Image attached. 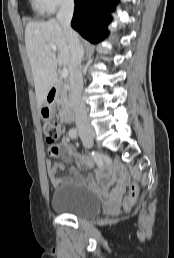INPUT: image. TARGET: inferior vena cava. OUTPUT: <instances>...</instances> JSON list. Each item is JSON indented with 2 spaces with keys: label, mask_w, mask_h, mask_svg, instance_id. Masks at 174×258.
I'll list each match as a JSON object with an SVG mask.
<instances>
[{
  "label": "inferior vena cava",
  "mask_w": 174,
  "mask_h": 258,
  "mask_svg": "<svg viewBox=\"0 0 174 258\" xmlns=\"http://www.w3.org/2000/svg\"><path fill=\"white\" fill-rule=\"evenodd\" d=\"M74 12V0H63L57 13V20L61 24L68 40L70 48V105L75 114L76 126L80 133L93 132L88 120L87 109L82 100L83 76L81 73V61L84 56L83 46L80 44L78 34L71 28V20Z\"/></svg>",
  "instance_id": "obj_1"
}]
</instances>
